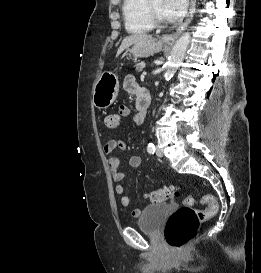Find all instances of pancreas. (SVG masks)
Wrapping results in <instances>:
<instances>
[{"label": "pancreas", "instance_id": "1", "mask_svg": "<svg viewBox=\"0 0 261 273\" xmlns=\"http://www.w3.org/2000/svg\"><path fill=\"white\" fill-rule=\"evenodd\" d=\"M145 65H146L145 62H140L135 65V68L137 71H142Z\"/></svg>", "mask_w": 261, "mask_h": 273}]
</instances>
